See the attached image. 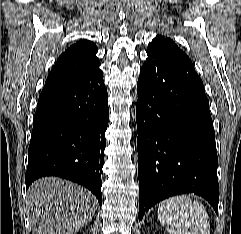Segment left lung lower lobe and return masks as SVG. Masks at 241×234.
<instances>
[{
  "label": "left lung lower lobe",
  "instance_id": "left-lung-lower-lobe-1",
  "mask_svg": "<svg viewBox=\"0 0 241 234\" xmlns=\"http://www.w3.org/2000/svg\"><path fill=\"white\" fill-rule=\"evenodd\" d=\"M136 104L139 220L170 196L194 193L218 214V157L202 80L191 63L147 50Z\"/></svg>",
  "mask_w": 241,
  "mask_h": 234
}]
</instances>
